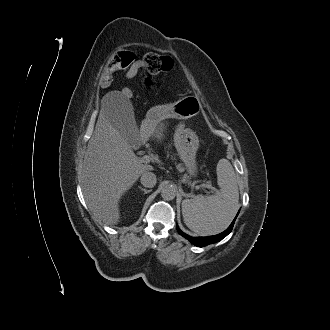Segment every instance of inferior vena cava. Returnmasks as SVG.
Listing matches in <instances>:
<instances>
[{"mask_svg":"<svg viewBox=\"0 0 330 330\" xmlns=\"http://www.w3.org/2000/svg\"><path fill=\"white\" fill-rule=\"evenodd\" d=\"M141 184L145 187L148 188H152L156 185L157 182V178L156 175L152 172L149 171H145L142 175H141Z\"/></svg>","mask_w":330,"mask_h":330,"instance_id":"1","label":"inferior vena cava"}]
</instances>
